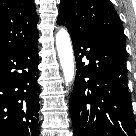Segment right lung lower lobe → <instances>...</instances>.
Here are the masks:
<instances>
[{"instance_id":"right-lung-lower-lobe-1","label":"right lung lower lobe","mask_w":136,"mask_h":136,"mask_svg":"<svg viewBox=\"0 0 136 136\" xmlns=\"http://www.w3.org/2000/svg\"><path fill=\"white\" fill-rule=\"evenodd\" d=\"M37 38L0 53V136L39 135Z\"/></svg>"}]
</instances>
